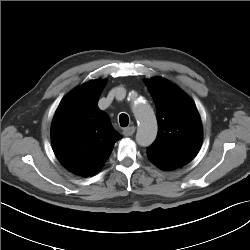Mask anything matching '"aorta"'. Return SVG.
Masks as SVG:
<instances>
[{"label":"aorta","instance_id":"762f6f07","mask_svg":"<svg viewBox=\"0 0 250 250\" xmlns=\"http://www.w3.org/2000/svg\"><path fill=\"white\" fill-rule=\"evenodd\" d=\"M133 113L138 122L136 141L143 147L150 146L157 136V121L155 114L147 102L133 101Z\"/></svg>","mask_w":250,"mask_h":250}]
</instances>
